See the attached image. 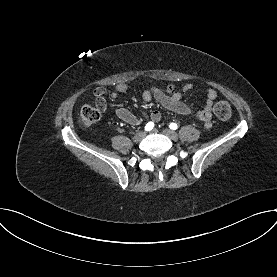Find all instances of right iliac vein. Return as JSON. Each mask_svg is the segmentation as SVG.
I'll use <instances>...</instances> for the list:
<instances>
[{"label": "right iliac vein", "mask_w": 277, "mask_h": 277, "mask_svg": "<svg viewBox=\"0 0 277 277\" xmlns=\"http://www.w3.org/2000/svg\"><path fill=\"white\" fill-rule=\"evenodd\" d=\"M145 136H146V132L140 131L133 137V140L134 142H140L145 138Z\"/></svg>", "instance_id": "obj_1"}]
</instances>
